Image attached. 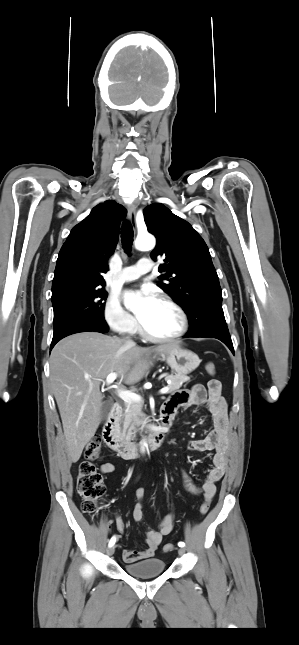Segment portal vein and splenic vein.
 Listing matches in <instances>:
<instances>
[{"label": "portal vein and splenic vein", "mask_w": 299, "mask_h": 645, "mask_svg": "<svg viewBox=\"0 0 299 645\" xmlns=\"http://www.w3.org/2000/svg\"><path fill=\"white\" fill-rule=\"evenodd\" d=\"M116 378H117V374H116V373H111V374H109V375L106 377V384H108V385H109V384H112V383L115 381V379H116ZM168 390H169L168 386L163 387V388L160 390V393H161V394H165V393H167V392H168ZM116 394H117V395H118V396H119L123 401H125V402H129V403H130V402H141V401H142V398H141V396H140V395H138V394H136V393L128 392V391H125V390H122V389H117V390H116Z\"/></svg>", "instance_id": "portal-vein-and-splenic-vein-1"}]
</instances>
